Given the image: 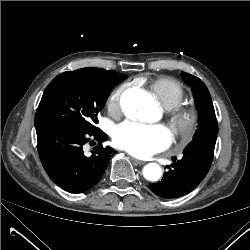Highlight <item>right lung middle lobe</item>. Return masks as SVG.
<instances>
[{"mask_svg":"<svg viewBox=\"0 0 250 250\" xmlns=\"http://www.w3.org/2000/svg\"><path fill=\"white\" fill-rule=\"evenodd\" d=\"M125 75L104 69H79L55 77L47 86L35 116L40 124L77 126L98 131L97 115L110 91Z\"/></svg>","mask_w":250,"mask_h":250,"instance_id":"1","label":"right lung middle lobe"}]
</instances>
